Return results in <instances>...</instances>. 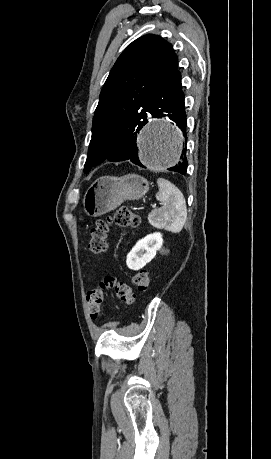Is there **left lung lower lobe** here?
I'll return each instance as SVG.
<instances>
[{
  "label": "left lung lower lobe",
  "mask_w": 271,
  "mask_h": 459,
  "mask_svg": "<svg viewBox=\"0 0 271 459\" xmlns=\"http://www.w3.org/2000/svg\"><path fill=\"white\" fill-rule=\"evenodd\" d=\"M150 106L139 119H134L129 125L120 130L114 140V149L105 161L119 162L130 160L144 167L138 158L136 145L137 133L148 123V116L161 118L167 116L175 122L186 138V115L184 93L182 92L181 73L176 71L163 79L149 94ZM187 140L185 139V143ZM186 148L181 154V162L169 168L170 171L185 174L187 171Z\"/></svg>",
  "instance_id": "1"
}]
</instances>
